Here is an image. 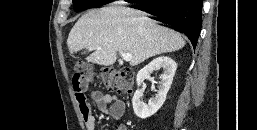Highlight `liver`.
<instances>
[{
	"mask_svg": "<svg viewBox=\"0 0 257 130\" xmlns=\"http://www.w3.org/2000/svg\"><path fill=\"white\" fill-rule=\"evenodd\" d=\"M185 44L179 33L158 25L144 12L124 7L89 11L75 23L67 39L71 54L94 51L86 60L102 66L113 65L118 51L131 54L130 65L136 66L153 56L180 50Z\"/></svg>",
	"mask_w": 257,
	"mask_h": 130,
	"instance_id": "1",
	"label": "liver"
}]
</instances>
